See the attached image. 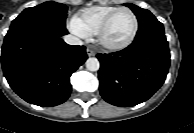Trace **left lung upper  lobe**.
I'll return each mask as SVG.
<instances>
[{"instance_id": "5c2ea615", "label": "left lung upper lobe", "mask_w": 194, "mask_h": 133, "mask_svg": "<svg viewBox=\"0 0 194 133\" xmlns=\"http://www.w3.org/2000/svg\"><path fill=\"white\" fill-rule=\"evenodd\" d=\"M124 5L131 8V10L137 16L138 22H139V27H142L146 24L157 21L155 16L150 11H148L146 9H142V8H140L134 4H130V3L124 4Z\"/></svg>"}]
</instances>
